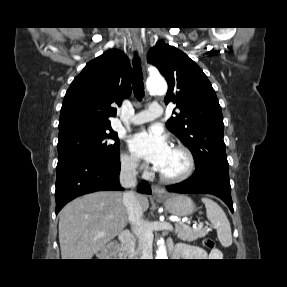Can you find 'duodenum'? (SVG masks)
<instances>
[{
  "instance_id": "obj_1",
  "label": "duodenum",
  "mask_w": 287,
  "mask_h": 287,
  "mask_svg": "<svg viewBox=\"0 0 287 287\" xmlns=\"http://www.w3.org/2000/svg\"><path fill=\"white\" fill-rule=\"evenodd\" d=\"M117 255L122 258H132L131 251V233L128 230H123L118 237ZM108 252H112L108 250ZM173 257V255H172Z\"/></svg>"
}]
</instances>
